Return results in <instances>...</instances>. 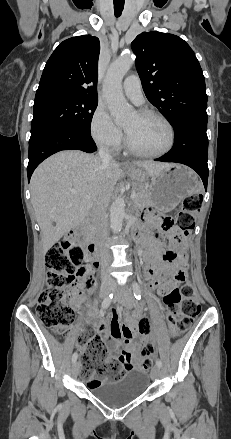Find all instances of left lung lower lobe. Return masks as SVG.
Returning <instances> with one entry per match:
<instances>
[{"instance_id":"1","label":"left lung lower lobe","mask_w":231,"mask_h":439,"mask_svg":"<svg viewBox=\"0 0 231 439\" xmlns=\"http://www.w3.org/2000/svg\"><path fill=\"white\" fill-rule=\"evenodd\" d=\"M175 130L173 148L155 159L163 162L185 164L201 177L205 189L208 181L207 114H193L179 121Z\"/></svg>"}]
</instances>
